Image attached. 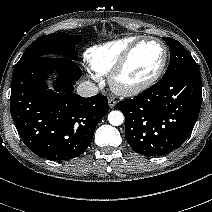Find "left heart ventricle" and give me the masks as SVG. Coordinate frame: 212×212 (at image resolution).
<instances>
[{"instance_id":"left-heart-ventricle-1","label":"left heart ventricle","mask_w":212,"mask_h":212,"mask_svg":"<svg viewBox=\"0 0 212 212\" xmlns=\"http://www.w3.org/2000/svg\"><path fill=\"white\" fill-rule=\"evenodd\" d=\"M163 59V49L156 42L142 44L132 55L121 81L131 85L144 81L159 68Z\"/></svg>"}]
</instances>
